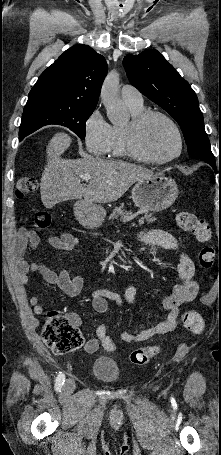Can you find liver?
Wrapping results in <instances>:
<instances>
[{
  "mask_svg": "<svg viewBox=\"0 0 221 455\" xmlns=\"http://www.w3.org/2000/svg\"><path fill=\"white\" fill-rule=\"evenodd\" d=\"M71 137L56 133L46 148L47 164L41 183V201L47 209L56 204L81 199L88 203L118 200L138 180L153 175V171L126 162L98 158L64 159ZM90 174L89 184L81 183V175Z\"/></svg>",
  "mask_w": 221,
  "mask_h": 455,
  "instance_id": "obj_1",
  "label": "liver"
}]
</instances>
